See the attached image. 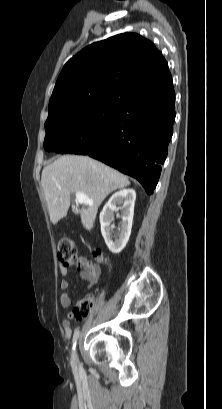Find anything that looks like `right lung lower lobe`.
Instances as JSON below:
<instances>
[{
  "instance_id": "1",
  "label": "right lung lower lobe",
  "mask_w": 222,
  "mask_h": 409,
  "mask_svg": "<svg viewBox=\"0 0 222 409\" xmlns=\"http://www.w3.org/2000/svg\"><path fill=\"white\" fill-rule=\"evenodd\" d=\"M131 99L115 111L103 144L90 157L136 178L151 195L157 185L173 134L175 92Z\"/></svg>"
}]
</instances>
